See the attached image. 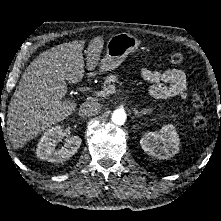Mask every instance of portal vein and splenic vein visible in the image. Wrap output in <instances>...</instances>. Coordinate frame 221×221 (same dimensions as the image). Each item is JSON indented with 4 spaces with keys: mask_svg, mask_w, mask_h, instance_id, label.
<instances>
[{
    "mask_svg": "<svg viewBox=\"0 0 221 221\" xmlns=\"http://www.w3.org/2000/svg\"><path fill=\"white\" fill-rule=\"evenodd\" d=\"M116 91H117V89L115 88V86L112 85L110 88H108L106 90L96 92V95L105 97V96H107L111 93H114Z\"/></svg>",
    "mask_w": 221,
    "mask_h": 221,
    "instance_id": "portal-vein-and-splenic-vein-1",
    "label": "portal vein and splenic vein"
}]
</instances>
